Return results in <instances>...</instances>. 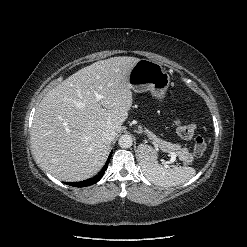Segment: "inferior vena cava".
<instances>
[{
  "label": "inferior vena cava",
  "instance_id": "inferior-vena-cava-1",
  "mask_svg": "<svg viewBox=\"0 0 247 247\" xmlns=\"http://www.w3.org/2000/svg\"><path fill=\"white\" fill-rule=\"evenodd\" d=\"M103 136L109 140V141H112L115 136H116V132L113 128H108L106 129L104 132H103Z\"/></svg>",
  "mask_w": 247,
  "mask_h": 247
}]
</instances>
